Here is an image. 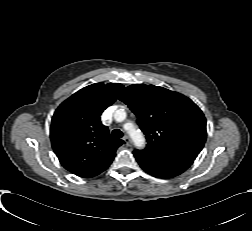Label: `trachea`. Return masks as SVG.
Masks as SVG:
<instances>
[{"label": "trachea", "instance_id": "trachea-1", "mask_svg": "<svg viewBox=\"0 0 252 231\" xmlns=\"http://www.w3.org/2000/svg\"><path fill=\"white\" fill-rule=\"evenodd\" d=\"M122 136H123V132H122L121 130H119V129H114V130L112 131V137H113V138L119 139V138H122Z\"/></svg>", "mask_w": 252, "mask_h": 231}]
</instances>
